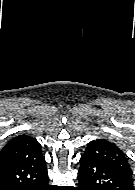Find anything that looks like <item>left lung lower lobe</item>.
<instances>
[{"label":"left lung lower lobe","mask_w":135,"mask_h":190,"mask_svg":"<svg viewBox=\"0 0 135 190\" xmlns=\"http://www.w3.org/2000/svg\"><path fill=\"white\" fill-rule=\"evenodd\" d=\"M78 190H134L133 182L108 163L82 155Z\"/></svg>","instance_id":"1"}]
</instances>
